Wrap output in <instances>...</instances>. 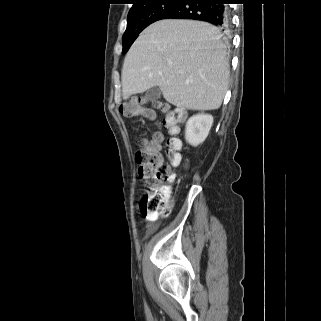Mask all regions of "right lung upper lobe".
<instances>
[{"label": "right lung upper lobe", "instance_id": "1", "mask_svg": "<svg viewBox=\"0 0 321 321\" xmlns=\"http://www.w3.org/2000/svg\"><path fill=\"white\" fill-rule=\"evenodd\" d=\"M148 1H152V0H133V6L132 7L138 6V5H142V4H144V3L148 2Z\"/></svg>", "mask_w": 321, "mask_h": 321}]
</instances>
